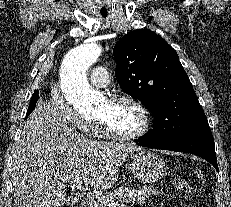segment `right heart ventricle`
<instances>
[{"label": "right heart ventricle", "mask_w": 231, "mask_h": 207, "mask_svg": "<svg viewBox=\"0 0 231 207\" xmlns=\"http://www.w3.org/2000/svg\"><path fill=\"white\" fill-rule=\"evenodd\" d=\"M93 129H94V133H97L99 131L98 125L94 124Z\"/></svg>", "instance_id": "obj_1"}]
</instances>
